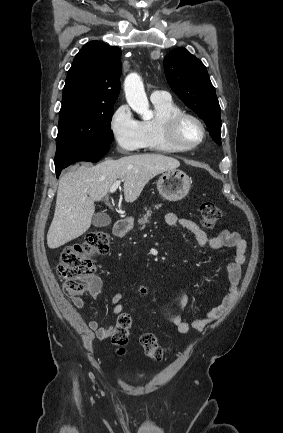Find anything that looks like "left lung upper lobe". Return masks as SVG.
Wrapping results in <instances>:
<instances>
[{
	"label": "left lung upper lobe",
	"instance_id": "obj_1",
	"mask_svg": "<svg viewBox=\"0 0 283 433\" xmlns=\"http://www.w3.org/2000/svg\"><path fill=\"white\" fill-rule=\"evenodd\" d=\"M167 82L178 97L206 122L211 137L221 144L220 106L207 69L184 48L164 58Z\"/></svg>",
	"mask_w": 283,
	"mask_h": 433
}]
</instances>
